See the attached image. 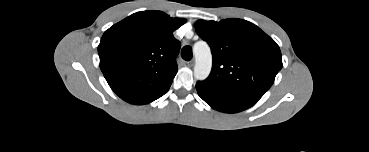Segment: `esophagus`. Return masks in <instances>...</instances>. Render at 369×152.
<instances>
[{
	"label": "esophagus",
	"instance_id": "esophagus-1",
	"mask_svg": "<svg viewBox=\"0 0 369 152\" xmlns=\"http://www.w3.org/2000/svg\"><path fill=\"white\" fill-rule=\"evenodd\" d=\"M187 65H188L189 67H193V66L195 65V60H194V59H192L191 61H188V62H187Z\"/></svg>",
	"mask_w": 369,
	"mask_h": 152
}]
</instances>
